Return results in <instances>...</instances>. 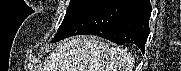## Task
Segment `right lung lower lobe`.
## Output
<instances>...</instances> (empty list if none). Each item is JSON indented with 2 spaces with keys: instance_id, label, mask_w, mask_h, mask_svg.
Wrapping results in <instances>:
<instances>
[{
  "instance_id": "98d812e1",
  "label": "right lung lower lobe",
  "mask_w": 181,
  "mask_h": 71,
  "mask_svg": "<svg viewBox=\"0 0 181 71\" xmlns=\"http://www.w3.org/2000/svg\"><path fill=\"white\" fill-rule=\"evenodd\" d=\"M152 7L149 0H94L60 28L52 42L92 34L116 44H134L144 53Z\"/></svg>"
}]
</instances>
